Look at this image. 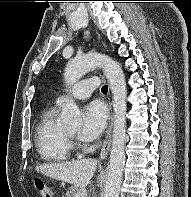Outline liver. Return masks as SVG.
Segmentation results:
<instances>
[{
	"label": "liver",
	"instance_id": "liver-1",
	"mask_svg": "<svg viewBox=\"0 0 191 197\" xmlns=\"http://www.w3.org/2000/svg\"><path fill=\"white\" fill-rule=\"evenodd\" d=\"M97 167L96 159H82L38 166L37 172L85 190Z\"/></svg>",
	"mask_w": 191,
	"mask_h": 197
}]
</instances>
